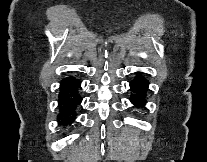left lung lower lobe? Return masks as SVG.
I'll use <instances>...</instances> for the list:
<instances>
[{"instance_id":"1","label":"left lung lower lobe","mask_w":207,"mask_h":162,"mask_svg":"<svg viewBox=\"0 0 207 162\" xmlns=\"http://www.w3.org/2000/svg\"><path fill=\"white\" fill-rule=\"evenodd\" d=\"M148 84V81L143 77H137L130 83L131 90L136 93L133 94L130 99L135 106L141 107L145 105V95L148 89Z\"/></svg>"}]
</instances>
